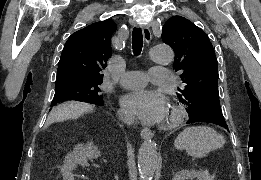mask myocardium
Segmentation results:
<instances>
[{
	"label": "myocardium",
	"mask_w": 261,
	"mask_h": 180,
	"mask_svg": "<svg viewBox=\"0 0 261 180\" xmlns=\"http://www.w3.org/2000/svg\"><path fill=\"white\" fill-rule=\"evenodd\" d=\"M183 117V111L179 104L176 103L174 99H170L168 107L162 113L159 121L158 127L164 131H170L180 123Z\"/></svg>",
	"instance_id": "1"
}]
</instances>
